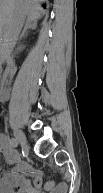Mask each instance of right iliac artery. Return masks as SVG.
Returning <instances> with one entry per match:
<instances>
[{"label":"right iliac artery","instance_id":"82829eb1","mask_svg":"<svg viewBox=\"0 0 103 193\" xmlns=\"http://www.w3.org/2000/svg\"><path fill=\"white\" fill-rule=\"evenodd\" d=\"M9 142H10V145H11L12 147H14V148H16V147L18 146V141H17L15 138H11V139L9 140Z\"/></svg>","mask_w":103,"mask_h":193}]
</instances>
